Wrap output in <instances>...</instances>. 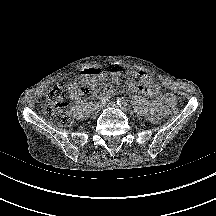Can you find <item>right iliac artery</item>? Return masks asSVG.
I'll list each match as a JSON object with an SVG mask.
<instances>
[{
  "mask_svg": "<svg viewBox=\"0 0 216 216\" xmlns=\"http://www.w3.org/2000/svg\"><path fill=\"white\" fill-rule=\"evenodd\" d=\"M110 93L109 92H107V93H105V94H103L101 97H100V101L103 103V102H106V101H108V99H110Z\"/></svg>",
  "mask_w": 216,
  "mask_h": 216,
  "instance_id": "obj_1",
  "label": "right iliac artery"
}]
</instances>
